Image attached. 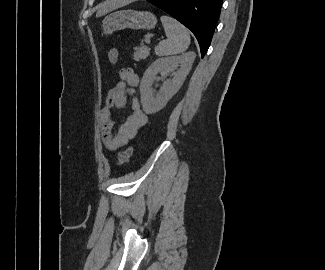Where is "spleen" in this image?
<instances>
[{"label": "spleen", "mask_w": 325, "mask_h": 270, "mask_svg": "<svg viewBox=\"0 0 325 270\" xmlns=\"http://www.w3.org/2000/svg\"><path fill=\"white\" fill-rule=\"evenodd\" d=\"M161 22L167 39L155 47V54L157 56H168L185 52L190 44L188 30L177 20L166 15L161 17Z\"/></svg>", "instance_id": "spleen-1"}]
</instances>
